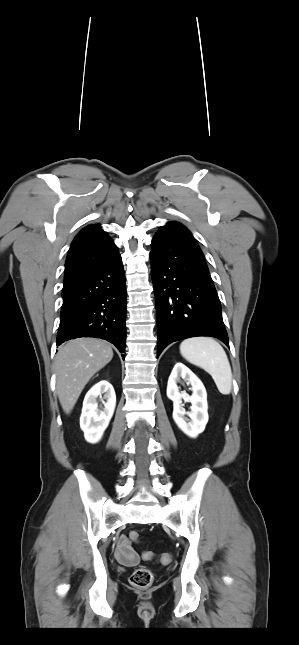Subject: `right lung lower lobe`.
Returning a JSON list of instances; mask_svg holds the SVG:
<instances>
[{
    "label": "right lung lower lobe",
    "instance_id": "obj_1",
    "mask_svg": "<svg viewBox=\"0 0 299 645\" xmlns=\"http://www.w3.org/2000/svg\"><path fill=\"white\" fill-rule=\"evenodd\" d=\"M62 297L57 346L70 339L95 337L125 351L127 293L119 254L64 283Z\"/></svg>",
    "mask_w": 299,
    "mask_h": 645
}]
</instances>
